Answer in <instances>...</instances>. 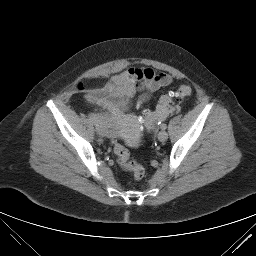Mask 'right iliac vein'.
<instances>
[{"label": "right iliac vein", "instance_id": "right-iliac-vein-1", "mask_svg": "<svg viewBox=\"0 0 256 256\" xmlns=\"http://www.w3.org/2000/svg\"><path fill=\"white\" fill-rule=\"evenodd\" d=\"M93 125H94V126H97V125H98V122H97V121H94V122H93ZM96 131L98 132L99 135H103V134H104V131H103V129L101 128V126H97V127H96Z\"/></svg>", "mask_w": 256, "mask_h": 256}]
</instances>
